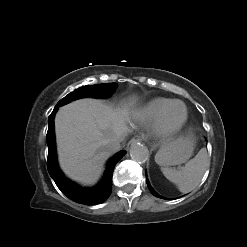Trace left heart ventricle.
Wrapping results in <instances>:
<instances>
[{"label":"left heart ventricle","mask_w":247,"mask_h":247,"mask_svg":"<svg viewBox=\"0 0 247 247\" xmlns=\"http://www.w3.org/2000/svg\"><path fill=\"white\" fill-rule=\"evenodd\" d=\"M184 115V109L181 105H174L167 116V119L170 123H177L179 122Z\"/></svg>","instance_id":"left-heart-ventricle-1"}]
</instances>
